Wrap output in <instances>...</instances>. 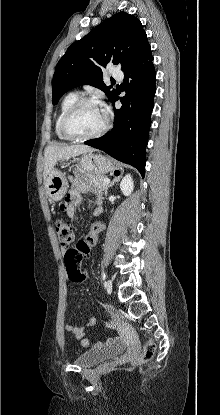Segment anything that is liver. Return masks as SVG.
I'll list each match as a JSON object with an SVG mask.
<instances>
[{"label":"liver","mask_w":220,"mask_h":415,"mask_svg":"<svg viewBox=\"0 0 220 415\" xmlns=\"http://www.w3.org/2000/svg\"><path fill=\"white\" fill-rule=\"evenodd\" d=\"M94 149L87 145H50L46 148L44 154V183L46 184L49 173L54 169L55 164L59 160L68 159L88 152Z\"/></svg>","instance_id":"1"}]
</instances>
